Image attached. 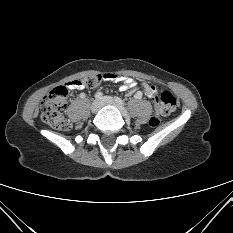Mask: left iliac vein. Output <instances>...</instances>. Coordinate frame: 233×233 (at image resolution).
Masks as SVG:
<instances>
[{
  "label": "left iliac vein",
  "mask_w": 233,
  "mask_h": 233,
  "mask_svg": "<svg viewBox=\"0 0 233 233\" xmlns=\"http://www.w3.org/2000/svg\"><path fill=\"white\" fill-rule=\"evenodd\" d=\"M101 103L105 104V105H113V106L117 107L120 110L121 114L126 119L130 118L127 111L120 104H118L112 97H110V96L103 97V99L101 100Z\"/></svg>",
  "instance_id": "1"
}]
</instances>
